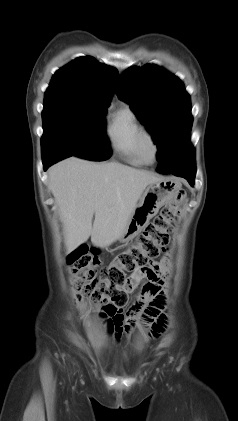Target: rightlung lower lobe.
Instances as JSON below:
<instances>
[{
    "label": "right lung lower lobe",
    "instance_id": "right-lung-lower-lobe-1",
    "mask_svg": "<svg viewBox=\"0 0 238 421\" xmlns=\"http://www.w3.org/2000/svg\"><path fill=\"white\" fill-rule=\"evenodd\" d=\"M67 157H70L69 154H67V153H58V152H53V153H50L46 157H42L44 170H47V168L49 166H51L52 164H54L57 161H60V160H62L64 158H67Z\"/></svg>",
    "mask_w": 238,
    "mask_h": 421
}]
</instances>
